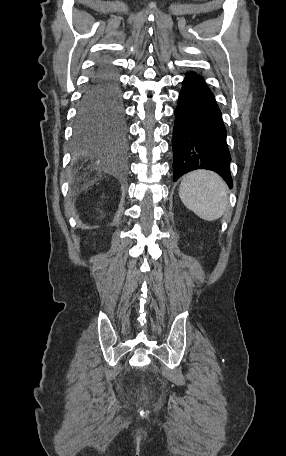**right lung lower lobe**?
<instances>
[{"mask_svg": "<svg viewBox=\"0 0 286 456\" xmlns=\"http://www.w3.org/2000/svg\"><path fill=\"white\" fill-rule=\"evenodd\" d=\"M108 126L125 124V113L118 76L113 67L102 60L97 65L89 86L85 89L77 111V128L91 123ZM119 137L121 134L112 131Z\"/></svg>", "mask_w": 286, "mask_h": 456, "instance_id": "1", "label": "right lung lower lobe"}]
</instances>
